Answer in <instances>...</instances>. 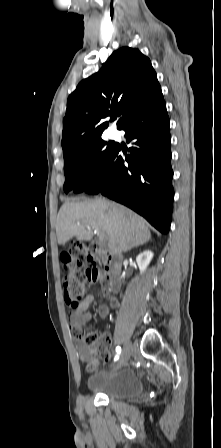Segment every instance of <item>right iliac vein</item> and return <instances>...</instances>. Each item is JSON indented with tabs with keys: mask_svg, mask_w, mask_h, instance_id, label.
Masks as SVG:
<instances>
[{
	"mask_svg": "<svg viewBox=\"0 0 221 448\" xmlns=\"http://www.w3.org/2000/svg\"><path fill=\"white\" fill-rule=\"evenodd\" d=\"M133 351L134 346L130 341H127L124 345L120 360L118 361L116 368H121L126 365Z\"/></svg>",
	"mask_w": 221,
	"mask_h": 448,
	"instance_id": "right-iliac-vein-1",
	"label": "right iliac vein"
}]
</instances>
